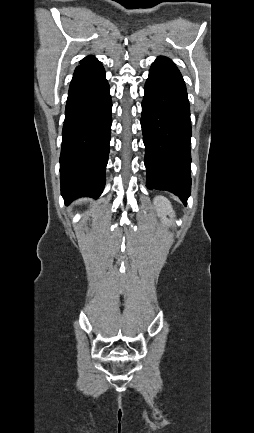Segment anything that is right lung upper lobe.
I'll return each mask as SVG.
<instances>
[{
	"label": "right lung upper lobe",
	"instance_id": "cb5924a9",
	"mask_svg": "<svg viewBox=\"0 0 254 433\" xmlns=\"http://www.w3.org/2000/svg\"><path fill=\"white\" fill-rule=\"evenodd\" d=\"M93 59H94L93 56H88V57L84 58L83 60H81V62L89 61V60H93Z\"/></svg>",
	"mask_w": 254,
	"mask_h": 433
}]
</instances>
